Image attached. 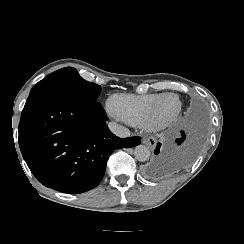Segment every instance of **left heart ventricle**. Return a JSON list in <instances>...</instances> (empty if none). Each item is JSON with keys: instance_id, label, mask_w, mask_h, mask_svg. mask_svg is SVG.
<instances>
[{"instance_id": "1", "label": "left heart ventricle", "mask_w": 244, "mask_h": 244, "mask_svg": "<svg viewBox=\"0 0 244 244\" xmlns=\"http://www.w3.org/2000/svg\"><path fill=\"white\" fill-rule=\"evenodd\" d=\"M176 106V100L173 97H166L161 102V109L166 113H170Z\"/></svg>"}]
</instances>
